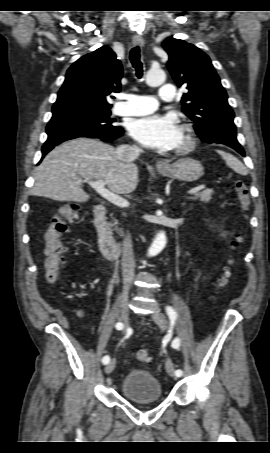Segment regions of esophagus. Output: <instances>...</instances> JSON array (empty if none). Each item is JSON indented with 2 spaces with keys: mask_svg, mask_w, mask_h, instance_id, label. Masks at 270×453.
<instances>
[{
  "mask_svg": "<svg viewBox=\"0 0 270 453\" xmlns=\"http://www.w3.org/2000/svg\"><path fill=\"white\" fill-rule=\"evenodd\" d=\"M133 43H134L135 45H141V46H142V45H144V39L141 38V37H134V38H133ZM167 166H168V163L165 162V161L158 160V161L156 162V167H157V168H164V167H167Z\"/></svg>",
  "mask_w": 270,
  "mask_h": 453,
  "instance_id": "esophagus-1",
  "label": "esophagus"
}]
</instances>
